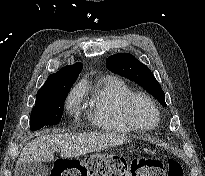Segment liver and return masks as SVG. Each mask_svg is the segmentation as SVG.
I'll return each mask as SVG.
<instances>
[{
    "label": "liver",
    "instance_id": "6515ba94",
    "mask_svg": "<svg viewBox=\"0 0 205 176\" xmlns=\"http://www.w3.org/2000/svg\"><path fill=\"white\" fill-rule=\"evenodd\" d=\"M128 141L125 137L107 133L41 135L23 148L17 166L27 162L54 161V152L57 148L61 149L62 157L72 158Z\"/></svg>",
    "mask_w": 205,
    "mask_h": 176
}]
</instances>
